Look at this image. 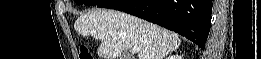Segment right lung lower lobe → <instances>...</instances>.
Wrapping results in <instances>:
<instances>
[{"instance_id":"right-lung-lower-lobe-1","label":"right lung lower lobe","mask_w":261,"mask_h":59,"mask_svg":"<svg viewBox=\"0 0 261 59\" xmlns=\"http://www.w3.org/2000/svg\"><path fill=\"white\" fill-rule=\"evenodd\" d=\"M212 0H102L97 7L120 10L172 30L204 49Z\"/></svg>"}]
</instances>
